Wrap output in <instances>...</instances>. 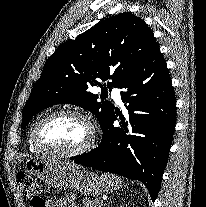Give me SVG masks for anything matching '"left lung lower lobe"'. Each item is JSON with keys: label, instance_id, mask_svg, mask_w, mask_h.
<instances>
[{"label": "left lung lower lobe", "instance_id": "left-lung-lower-lobe-1", "mask_svg": "<svg viewBox=\"0 0 206 207\" xmlns=\"http://www.w3.org/2000/svg\"><path fill=\"white\" fill-rule=\"evenodd\" d=\"M125 115L113 112L103 139L74 162L141 181L155 201L167 165L176 122V98L159 45L122 83ZM120 118V127L113 123Z\"/></svg>", "mask_w": 206, "mask_h": 207}]
</instances>
